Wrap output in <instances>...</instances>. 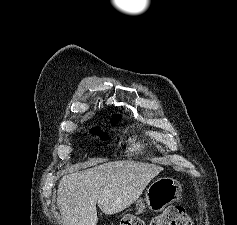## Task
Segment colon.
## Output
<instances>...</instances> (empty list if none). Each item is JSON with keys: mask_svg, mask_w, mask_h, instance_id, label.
Returning a JSON list of instances; mask_svg holds the SVG:
<instances>
[{"mask_svg": "<svg viewBox=\"0 0 237 225\" xmlns=\"http://www.w3.org/2000/svg\"><path fill=\"white\" fill-rule=\"evenodd\" d=\"M119 225H193V220L182 206H171L148 222L136 215H128Z\"/></svg>", "mask_w": 237, "mask_h": 225, "instance_id": "1", "label": "colon"}]
</instances>
